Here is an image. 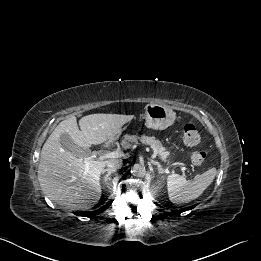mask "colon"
<instances>
[{"mask_svg":"<svg viewBox=\"0 0 261 261\" xmlns=\"http://www.w3.org/2000/svg\"><path fill=\"white\" fill-rule=\"evenodd\" d=\"M183 141L190 147H195L200 143V134L194 124L188 123L183 128ZM206 159V152L203 149H195L191 153V160L195 165L202 164Z\"/></svg>","mask_w":261,"mask_h":261,"instance_id":"5ec220e1","label":"colon"}]
</instances>
